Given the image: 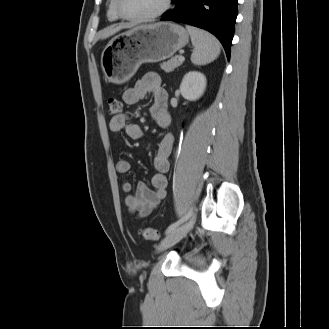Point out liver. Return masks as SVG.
<instances>
[{
	"label": "liver",
	"instance_id": "obj_1",
	"mask_svg": "<svg viewBox=\"0 0 329 329\" xmlns=\"http://www.w3.org/2000/svg\"><path fill=\"white\" fill-rule=\"evenodd\" d=\"M128 27H130V26L124 25V24L114 25V26L108 27V28L103 29L102 31H100L99 38L105 39L107 37H110V36L114 35L115 33L119 32L120 30H122L124 28H128Z\"/></svg>",
	"mask_w": 329,
	"mask_h": 329
}]
</instances>
